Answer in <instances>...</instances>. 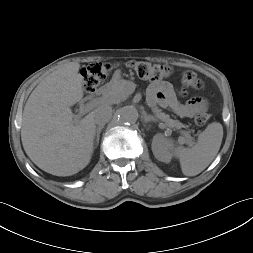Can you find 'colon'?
Returning <instances> with one entry per match:
<instances>
[{
    "instance_id": "1",
    "label": "colon",
    "mask_w": 253,
    "mask_h": 253,
    "mask_svg": "<svg viewBox=\"0 0 253 253\" xmlns=\"http://www.w3.org/2000/svg\"><path fill=\"white\" fill-rule=\"evenodd\" d=\"M126 66L135 71V73L143 79L153 81L162 80L170 77L173 74V69L168 65L152 64L146 61H129ZM110 63H95L90 64L81 70L83 77L84 90L88 94H92L98 85L103 82L113 69ZM182 83L186 88L199 91L204 88L203 80L198 75L190 70L182 72ZM209 119V114L206 110L199 111L195 114L193 120L197 126H203Z\"/></svg>"
}]
</instances>
